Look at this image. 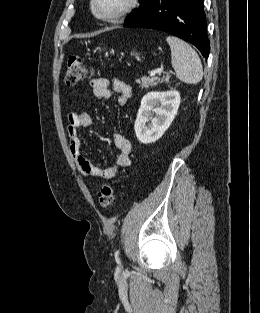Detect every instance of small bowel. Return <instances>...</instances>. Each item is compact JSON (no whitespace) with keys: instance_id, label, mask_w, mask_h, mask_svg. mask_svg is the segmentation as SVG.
<instances>
[{"instance_id":"c3829d8e","label":"small bowel","mask_w":260,"mask_h":313,"mask_svg":"<svg viewBox=\"0 0 260 313\" xmlns=\"http://www.w3.org/2000/svg\"><path fill=\"white\" fill-rule=\"evenodd\" d=\"M90 85L93 95L97 98L107 99L111 97L113 92L116 93L118 104L121 106L125 105L131 96L130 87L118 79L94 78L91 80ZM91 124L92 118L87 112H70L67 115L69 150L76 167L79 173L86 178H115L121 169L131 164V142L121 133L114 134L113 145L117 150L115 164L106 167L95 165L81 153V139L79 136V129L90 127Z\"/></svg>"}]
</instances>
